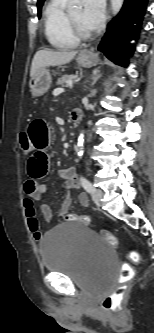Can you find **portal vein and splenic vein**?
Listing matches in <instances>:
<instances>
[{"label":"portal vein and splenic vein","mask_w":154,"mask_h":333,"mask_svg":"<svg viewBox=\"0 0 154 333\" xmlns=\"http://www.w3.org/2000/svg\"><path fill=\"white\" fill-rule=\"evenodd\" d=\"M61 92H63V90H60V89H57V90H54L53 94L55 96L59 95Z\"/></svg>","instance_id":"portal-vein-and-splenic-vein-1"}]
</instances>
